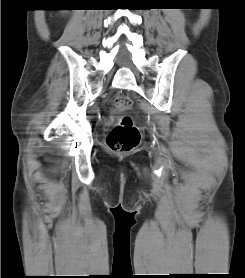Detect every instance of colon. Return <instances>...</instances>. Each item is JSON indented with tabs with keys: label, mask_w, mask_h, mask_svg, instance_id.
I'll return each instance as SVG.
<instances>
[{
	"label": "colon",
	"mask_w": 245,
	"mask_h": 278,
	"mask_svg": "<svg viewBox=\"0 0 245 278\" xmlns=\"http://www.w3.org/2000/svg\"><path fill=\"white\" fill-rule=\"evenodd\" d=\"M114 106L116 110L129 109L132 106V99L128 95L118 94ZM140 138V130L133 119L124 116L109 132L107 144L110 149L117 152L131 151L138 146Z\"/></svg>",
	"instance_id": "obj_1"
}]
</instances>
